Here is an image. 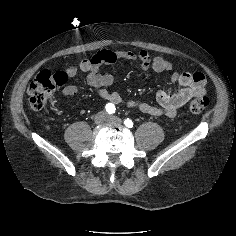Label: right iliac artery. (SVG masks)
<instances>
[{"instance_id": "obj_1", "label": "right iliac artery", "mask_w": 236, "mask_h": 236, "mask_svg": "<svg viewBox=\"0 0 236 236\" xmlns=\"http://www.w3.org/2000/svg\"><path fill=\"white\" fill-rule=\"evenodd\" d=\"M105 109L109 114L115 113V110H116L114 104H112V103L106 104Z\"/></svg>"}]
</instances>
